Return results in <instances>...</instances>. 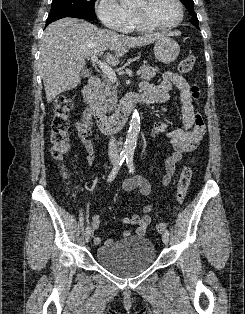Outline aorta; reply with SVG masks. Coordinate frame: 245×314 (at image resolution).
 I'll list each match as a JSON object with an SVG mask.
<instances>
[{
	"label": "aorta",
	"instance_id": "aorta-1",
	"mask_svg": "<svg viewBox=\"0 0 245 314\" xmlns=\"http://www.w3.org/2000/svg\"><path fill=\"white\" fill-rule=\"evenodd\" d=\"M125 1L127 0H120V2L122 3ZM139 131H140V116L138 111L134 110L132 118L129 122V130L123 147V153L125 155H132L134 153Z\"/></svg>",
	"mask_w": 245,
	"mask_h": 314
}]
</instances>
